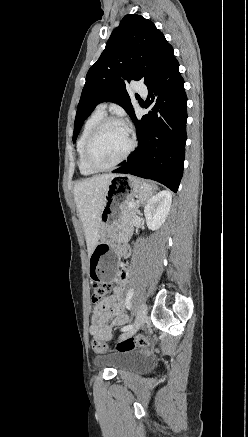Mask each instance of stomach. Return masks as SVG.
<instances>
[{"mask_svg": "<svg viewBox=\"0 0 248 437\" xmlns=\"http://www.w3.org/2000/svg\"><path fill=\"white\" fill-rule=\"evenodd\" d=\"M141 181L129 174L113 177L105 194L100 215V242L94 248L87 265L93 286H113L119 264L115 252L116 235L121 228L123 206L143 194Z\"/></svg>", "mask_w": 248, "mask_h": 437, "instance_id": "obj_1", "label": "stomach"}]
</instances>
